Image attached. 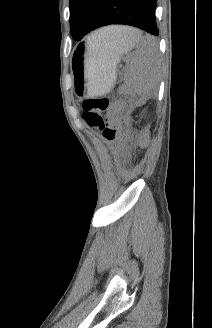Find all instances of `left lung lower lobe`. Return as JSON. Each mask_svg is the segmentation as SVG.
<instances>
[{"instance_id":"obj_1","label":"left lung lower lobe","mask_w":212,"mask_h":328,"mask_svg":"<svg viewBox=\"0 0 212 328\" xmlns=\"http://www.w3.org/2000/svg\"><path fill=\"white\" fill-rule=\"evenodd\" d=\"M157 0H103L90 32L102 26L124 24L140 28L155 36Z\"/></svg>"}]
</instances>
